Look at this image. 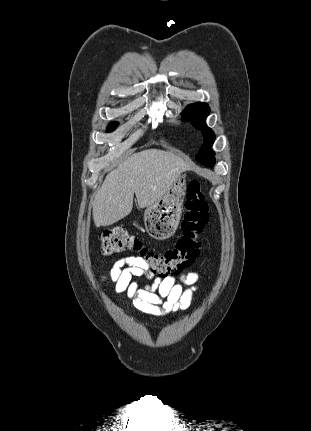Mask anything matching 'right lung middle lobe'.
Here are the masks:
<instances>
[{
	"instance_id": "obj_1",
	"label": "right lung middle lobe",
	"mask_w": 311,
	"mask_h": 431,
	"mask_svg": "<svg viewBox=\"0 0 311 431\" xmlns=\"http://www.w3.org/2000/svg\"><path fill=\"white\" fill-rule=\"evenodd\" d=\"M117 125V122L110 123L108 126V131H113L117 127Z\"/></svg>"
}]
</instances>
